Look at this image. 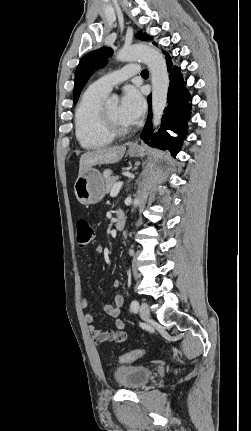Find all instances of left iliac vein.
<instances>
[{
    "label": "left iliac vein",
    "mask_w": 251,
    "mask_h": 431,
    "mask_svg": "<svg viewBox=\"0 0 251 431\" xmlns=\"http://www.w3.org/2000/svg\"><path fill=\"white\" fill-rule=\"evenodd\" d=\"M139 313L142 319L147 320L150 318V310L147 303L143 302L140 305Z\"/></svg>",
    "instance_id": "4c4485c4"
}]
</instances>
